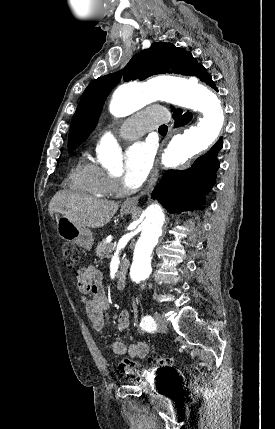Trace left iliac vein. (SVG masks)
<instances>
[{
	"mask_svg": "<svg viewBox=\"0 0 275 429\" xmlns=\"http://www.w3.org/2000/svg\"><path fill=\"white\" fill-rule=\"evenodd\" d=\"M154 319H155V323H156L157 329L160 332H166L167 325H166V322H165V319H164L163 315H161L160 313L156 312L154 314Z\"/></svg>",
	"mask_w": 275,
	"mask_h": 429,
	"instance_id": "obj_1",
	"label": "left iliac vein"
}]
</instances>
